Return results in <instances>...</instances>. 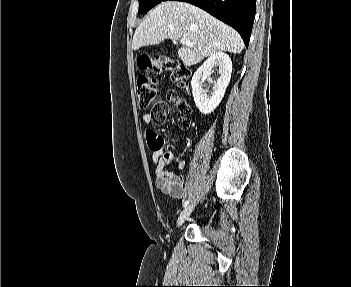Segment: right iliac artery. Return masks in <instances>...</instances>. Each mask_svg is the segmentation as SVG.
<instances>
[{
    "label": "right iliac artery",
    "mask_w": 351,
    "mask_h": 287,
    "mask_svg": "<svg viewBox=\"0 0 351 287\" xmlns=\"http://www.w3.org/2000/svg\"><path fill=\"white\" fill-rule=\"evenodd\" d=\"M189 204V200L185 201L183 207H186Z\"/></svg>",
    "instance_id": "1"
}]
</instances>
